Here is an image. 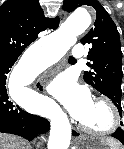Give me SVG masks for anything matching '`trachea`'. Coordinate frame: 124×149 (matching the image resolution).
I'll return each instance as SVG.
<instances>
[{
	"mask_svg": "<svg viewBox=\"0 0 124 149\" xmlns=\"http://www.w3.org/2000/svg\"><path fill=\"white\" fill-rule=\"evenodd\" d=\"M69 60H75L72 56L69 57Z\"/></svg>",
	"mask_w": 124,
	"mask_h": 149,
	"instance_id": "3493384b",
	"label": "trachea"
}]
</instances>
